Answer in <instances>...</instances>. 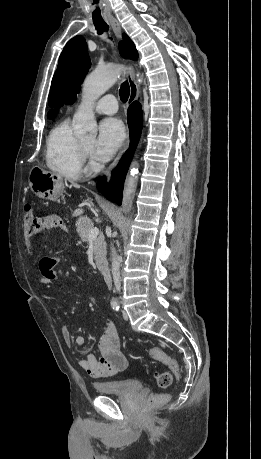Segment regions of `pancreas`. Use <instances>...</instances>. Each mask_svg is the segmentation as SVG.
<instances>
[{
  "label": "pancreas",
  "instance_id": "pancreas-1",
  "mask_svg": "<svg viewBox=\"0 0 261 459\" xmlns=\"http://www.w3.org/2000/svg\"><path fill=\"white\" fill-rule=\"evenodd\" d=\"M75 225L81 240L83 242H88L89 231L93 228V222L87 216H83L76 221ZM93 247L95 263L97 266H100L106 260V243L102 232L94 238Z\"/></svg>",
  "mask_w": 261,
  "mask_h": 459
}]
</instances>
